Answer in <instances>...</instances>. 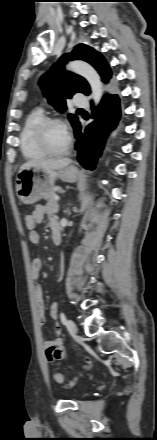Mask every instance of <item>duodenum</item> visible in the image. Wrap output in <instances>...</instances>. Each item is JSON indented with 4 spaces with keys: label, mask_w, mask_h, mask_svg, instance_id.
<instances>
[{
    "label": "duodenum",
    "mask_w": 157,
    "mask_h": 440,
    "mask_svg": "<svg viewBox=\"0 0 157 440\" xmlns=\"http://www.w3.org/2000/svg\"><path fill=\"white\" fill-rule=\"evenodd\" d=\"M52 242L55 245H58L61 242V229L59 226L52 228Z\"/></svg>",
    "instance_id": "duodenum-1"
}]
</instances>
